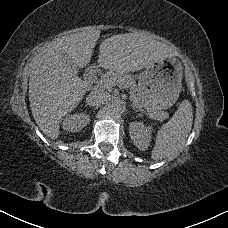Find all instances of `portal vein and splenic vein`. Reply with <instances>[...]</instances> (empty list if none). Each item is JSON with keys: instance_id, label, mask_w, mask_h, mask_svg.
Wrapping results in <instances>:
<instances>
[{"instance_id": "1", "label": "portal vein and splenic vein", "mask_w": 228, "mask_h": 228, "mask_svg": "<svg viewBox=\"0 0 228 228\" xmlns=\"http://www.w3.org/2000/svg\"><path fill=\"white\" fill-rule=\"evenodd\" d=\"M94 83H95L94 85L95 89L103 88V89L109 90L115 86L113 82L104 78H99L95 80ZM128 100L135 105V107L138 109V113H141V116L149 117V121H154V116H149V112L143 111V108H141L134 99L130 97Z\"/></svg>"}]
</instances>
